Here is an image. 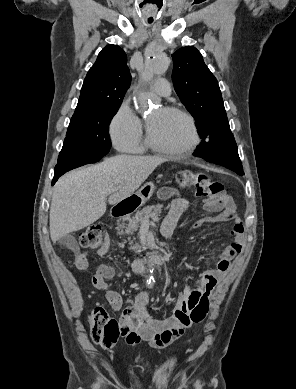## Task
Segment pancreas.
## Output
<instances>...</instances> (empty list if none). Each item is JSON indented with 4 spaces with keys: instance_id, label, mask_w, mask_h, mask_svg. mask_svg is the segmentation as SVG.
Here are the masks:
<instances>
[{
    "instance_id": "pancreas-1",
    "label": "pancreas",
    "mask_w": 296,
    "mask_h": 389,
    "mask_svg": "<svg viewBox=\"0 0 296 389\" xmlns=\"http://www.w3.org/2000/svg\"><path fill=\"white\" fill-rule=\"evenodd\" d=\"M163 205L157 204L156 206H147L142 210L137 211L134 217L126 216L121 219V224L118 225V234L119 235H129L134 231H137L142 220L145 218H151L153 216H158L162 212ZM128 222L126 225L124 222Z\"/></svg>"
}]
</instances>
